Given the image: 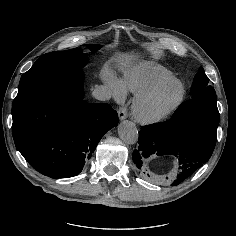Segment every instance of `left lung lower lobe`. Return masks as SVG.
Instances as JSON below:
<instances>
[{"instance_id": "0a47b994", "label": "left lung lower lobe", "mask_w": 236, "mask_h": 236, "mask_svg": "<svg viewBox=\"0 0 236 236\" xmlns=\"http://www.w3.org/2000/svg\"><path fill=\"white\" fill-rule=\"evenodd\" d=\"M219 118L216 101L194 98L182 103L168 121L143 126L132 156L138 170L146 174L153 155H171L179 159L181 170L172 185L180 184L211 157Z\"/></svg>"}]
</instances>
